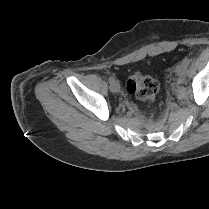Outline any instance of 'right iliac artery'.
<instances>
[{
    "label": "right iliac artery",
    "instance_id": "1",
    "mask_svg": "<svg viewBox=\"0 0 209 209\" xmlns=\"http://www.w3.org/2000/svg\"><path fill=\"white\" fill-rule=\"evenodd\" d=\"M114 80H115L114 77H112V76L109 77V82H110V83H112Z\"/></svg>",
    "mask_w": 209,
    "mask_h": 209
}]
</instances>
